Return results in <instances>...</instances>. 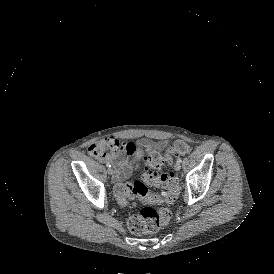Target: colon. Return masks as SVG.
Returning <instances> with one entry per match:
<instances>
[{"instance_id":"colon-1","label":"colon","mask_w":274,"mask_h":274,"mask_svg":"<svg viewBox=\"0 0 274 274\" xmlns=\"http://www.w3.org/2000/svg\"><path fill=\"white\" fill-rule=\"evenodd\" d=\"M174 147V148H173ZM174 150L182 156L191 152V147L184 140H177L174 146L165 144L156 156L145 158L140 163L144 171L142 178L132 183L119 184L115 188V197L123 207H129V200L133 197H149L156 200L155 196L149 195V187L154 186L163 190V197L159 203L163 206L159 209L147 206L139 213L130 215L126 220L128 230L135 235H144L158 231L166 226L170 220V210L166 207L178 196L179 183L173 172H166L165 165L171 159ZM102 152V151H88Z\"/></svg>"}]
</instances>
